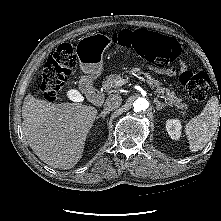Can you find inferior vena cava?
Listing matches in <instances>:
<instances>
[{
  "label": "inferior vena cava",
  "instance_id": "inferior-vena-cava-1",
  "mask_svg": "<svg viewBox=\"0 0 221 221\" xmlns=\"http://www.w3.org/2000/svg\"><path fill=\"white\" fill-rule=\"evenodd\" d=\"M122 103V98L119 95H112L107 98L106 102L104 103V111H112L118 108Z\"/></svg>",
  "mask_w": 221,
  "mask_h": 221
}]
</instances>
